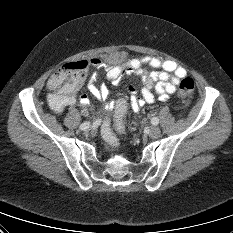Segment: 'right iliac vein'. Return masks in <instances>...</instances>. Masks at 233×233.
<instances>
[{
  "instance_id": "obj_1",
  "label": "right iliac vein",
  "mask_w": 233,
  "mask_h": 233,
  "mask_svg": "<svg viewBox=\"0 0 233 233\" xmlns=\"http://www.w3.org/2000/svg\"><path fill=\"white\" fill-rule=\"evenodd\" d=\"M81 134H82L83 136L94 135V134H95V129H94V128L83 129V130L81 131Z\"/></svg>"
}]
</instances>
